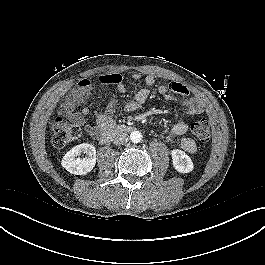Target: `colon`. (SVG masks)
<instances>
[{"mask_svg":"<svg viewBox=\"0 0 265 265\" xmlns=\"http://www.w3.org/2000/svg\"><path fill=\"white\" fill-rule=\"evenodd\" d=\"M211 123L206 117H199L191 125V132L202 143L210 139ZM80 136L77 125L69 122L64 116H58L53 125V143L57 147H63L75 141Z\"/></svg>","mask_w":265,"mask_h":265,"instance_id":"5ec220e1","label":"colon"}]
</instances>
